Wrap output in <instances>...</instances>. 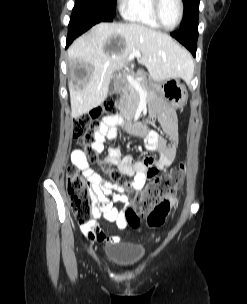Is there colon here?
Masks as SVG:
<instances>
[{
  "label": "colon",
  "mask_w": 247,
  "mask_h": 304,
  "mask_svg": "<svg viewBox=\"0 0 247 304\" xmlns=\"http://www.w3.org/2000/svg\"><path fill=\"white\" fill-rule=\"evenodd\" d=\"M119 99L118 93L108 95L101 105L89 113L81 115L73 125V137L82 146L85 158L97 164L109 176L111 182L117 186L123 184L119 174L114 172L107 162L98 159L97 153L89 143L102 121L116 113ZM183 177V166L174 168L160 176L154 175L144 190L131 196L125 211L128 223L136 227L139 215L145 214L148 227L161 226L170 212L171 205L176 202V199L171 195L181 188ZM67 192L77 222L80 225L90 223L93 214L91 188L85 178L79 174L77 168L69 167L67 170Z\"/></svg>",
  "instance_id": "5ec220e1"
}]
</instances>
